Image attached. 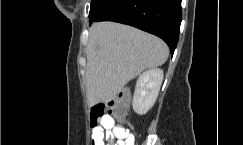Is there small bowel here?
<instances>
[{
    "instance_id": "c3829d8e",
    "label": "small bowel",
    "mask_w": 243,
    "mask_h": 145,
    "mask_svg": "<svg viewBox=\"0 0 243 145\" xmlns=\"http://www.w3.org/2000/svg\"><path fill=\"white\" fill-rule=\"evenodd\" d=\"M92 130V145H135L134 135L110 116L100 119Z\"/></svg>"
}]
</instances>
